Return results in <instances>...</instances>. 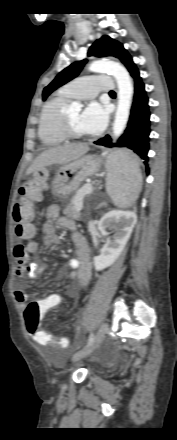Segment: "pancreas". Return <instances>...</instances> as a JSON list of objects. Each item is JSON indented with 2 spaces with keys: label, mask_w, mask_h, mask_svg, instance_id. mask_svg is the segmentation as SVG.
<instances>
[{
  "label": "pancreas",
  "mask_w": 177,
  "mask_h": 440,
  "mask_svg": "<svg viewBox=\"0 0 177 440\" xmlns=\"http://www.w3.org/2000/svg\"><path fill=\"white\" fill-rule=\"evenodd\" d=\"M89 185H85L81 189H79L76 194L72 197L70 204L64 209L63 214L71 219L79 220L80 219V210H78V205L81 204V209L83 207V198L88 195L85 194Z\"/></svg>",
  "instance_id": "cf45deb5"
}]
</instances>
